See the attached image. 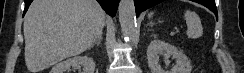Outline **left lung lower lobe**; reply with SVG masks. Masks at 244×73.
Wrapping results in <instances>:
<instances>
[{"label":"left lung lower lobe","instance_id":"left-lung-lower-lobe-1","mask_svg":"<svg viewBox=\"0 0 244 73\" xmlns=\"http://www.w3.org/2000/svg\"><path fill=\"white\" fill-rule=\"evenodd\" d=\"M162 1H164V0H134L135 9H136V17H138L142 11H145L146 9L151 8ZM194 1L206 6L211 11H213L217 16L215 0H194Z\"/></svg>","mask_w":244,"mask_h":73}]
</instances>
